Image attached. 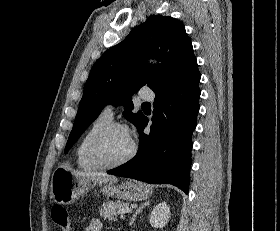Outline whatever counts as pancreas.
<instances>
[{
	"label": "pancreas",
	"instance_id": "1",
	"mask_svg": "<svg viewBox=\"0 0 280 231\" xmlns=\"http://www.w3.org/2000/svg\"><path fill=\"white\" fill-rule=\"evenodd\" d=\"M129 203H121V201H106L103 203L102 207H100V215L104 217V219H115V215H117V211L122 209V207H126ZM121 217L123 213H120Z\"/></svg>",
	"mask_w": 280,
	"mask_h": 231
}]
</instances>
